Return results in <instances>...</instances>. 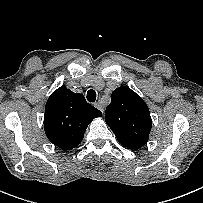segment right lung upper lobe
<instances>
[{"mask_svg":"<svg viewBox=\"0 0 203 203\" xmlns=\"http://www.w3.org/2000/svg\"><path fill=\"white\" fill-rule=\"evenodd\" d=\"M102 113L86 102L84 96L61 86L48 98L44 129L47 138L63 150L78 146L90 122Z\"/></svg>","mask_w":203,"mask_h":203,"instance_id":"1","label":"right lung upper lobe"}]
</instances>
